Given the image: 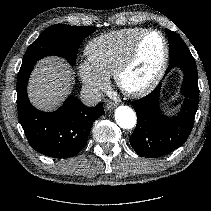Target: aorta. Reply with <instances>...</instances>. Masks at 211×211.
Masks as SVG:
<instances>
[{
    "label": "aorta",
    "mask_w": 211,
    "mask_h": 211,
    "mask_svg": "<svg viewBox=\"0 0 211 211\" xmlns=\"http://www.w3.org/2000/svg\"><path fill=\"white\" fill-rule=\"evenodd\" d=\"M116 123L123 129H132L136 125V114L128 106L122 105L115 110Z\"/></svg>",
    "instance_id": "1"
}]
</instances>
